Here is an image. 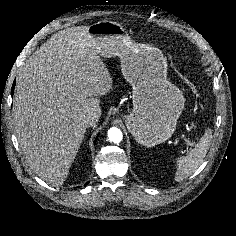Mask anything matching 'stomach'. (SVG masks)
<instances>
[{
    "label": "stomach",
    "instance_id": "stomach-1",
    "mask_svg": "<svg viewBox=\"0 0 236 236\" xmlns=\"http://www.w3.org/2000/svg\"><path fill=\"white\" fill-rule=\"evenodd\" d=\"M88 34L103 57L118 56L121 71L133 89V110L124 116L127 129L141 145L152 147L169 139L184 109L185 99L167 79V61L162 52L134 42L124 27L100 21Z\"/></svg>",
    "mask_w": 236,
    "mask_h": 236
}]
</instances>
